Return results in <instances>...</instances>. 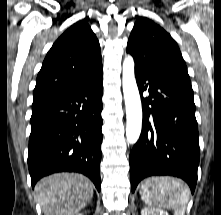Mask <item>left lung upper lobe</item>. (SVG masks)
<instances>
[{
	"label": "left lung upper lobe",
	"mask_w": 221,
	"mask_h": 215,
	"mask_svg": "<svg viewBox=\"0 0 221 215\" xmlns=\"http://www.w3.org/2000/svg\"><path fill=\"white\" fill-rule=\"evenodd\" d=\"M127 52L133 56L137 67L175 73L190 82L177 43L169 33L148 18L140 17L135 22L128 39Z\"/></svg>",
	"instance_id": "1"
}]
</instances>
